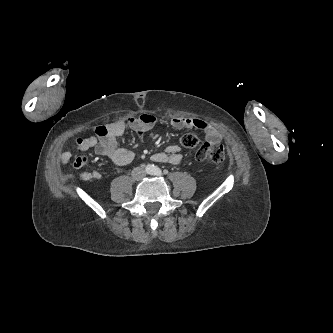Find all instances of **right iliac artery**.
<instances>
[{"label": "right iliac artery", "instance_id": "82829eb1", "mask_svg": "<svg viewBox=\"0 0 333 333\" xmlns=\"http://www.w3.org/2000/svg\"><path fill=\"white\" fill-rule=\"evenodd\" d=\"M147 172H148V173H153V169H152L151 167H148V168H147Z\"/></svg>", "mask_w": 333, "mask_h": 333}]
</instances>
